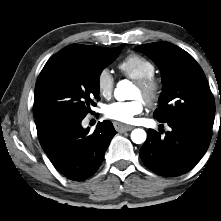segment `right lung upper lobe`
<instances>
[{"label":"right lung upper lobe","mask_w":221,"mask_h":221,"mask_svg":"<svg viewBox=\"0 0 221 221\" xmlns=\"http://www.w3.org/2000/svg\"><path fill=\"white\" fill-rule=\"evenodd\" d=\"M116 48H104V47H98V46H90V45H80V44H72L68 45L61 51H70L75 53H90V52H113L117 50Z\"/></svg>","instance_id":"1"}]
</instances>
